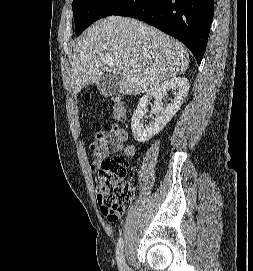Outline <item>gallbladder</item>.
Here are the masks:
<instances>
[{
    "instance_id": "1",
    "label": "gallbladder",
    "mask_w": 253,
    "mask_h": 271,
    "mask_svg": "<svg viewBox=\"0 0 253 271\" xmlns=\"http://www.w3.org/2000/svg\"><path fill=\"white\" fill-rule=\"evenodd\" d=\"M121 79L120 75L106 74L97 85L98 92L104 97L115 94Z\"/></svg>"
}]
</instances>
